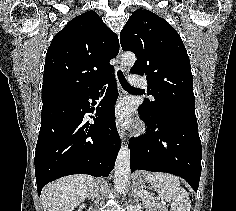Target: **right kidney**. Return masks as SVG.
<instances>
[{
  "instance_id": "1",
  "label": "right kidney",
  "mask_w": 236,
  "mask_h": 211,
  "mask_svg": "<svg viewBox=\"0 0 236 211\" xmlns=\"http://www.w3.org/2000/svg\"><path fill=\"white\" fill-rule=\"evenodd\" d=\"M80 208L82 209V208H85V204H82L81 206H80ZM80 211V210H79Z\"/></svg>"
}]
</instances>
